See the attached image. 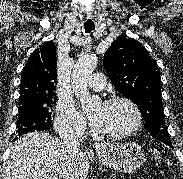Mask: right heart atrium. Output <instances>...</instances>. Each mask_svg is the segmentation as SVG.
Segmentation results:
<instances>
[{
	"instance_id": "right-heart-atrium-1",
	"label": "right heart atrium",
	"mask_w": 183,
	"mask_h": 179,
	"mask_svg": "<svg viewBox=\"0 0 183 179\" xmlns=\"http://www.w3.org/2000/svg\"><path fill=\"white\" fill-rule=\"evenodd\" d=\"M55 127L61 135L83 134L86 122L70 101H60L57 106Z\"/></svg>"
}]
</instances>
